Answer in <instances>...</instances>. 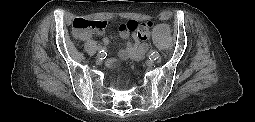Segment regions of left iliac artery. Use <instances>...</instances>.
<instances>
[{
	"mask_svg": "<svg viewBox=\"0 0 255 122\" xmlns=\"http://www.w3.org/2000/svg\"><path fill=\"white\" fill-rule=\"evenodd\" d=\"M150 56L153 60L159 59V53L157 51H153Z\"/></svg>",
	"mask_w": 255,
	"mask_h": 122,
	"instance_id": "44dca946",
	"label": "left iliac artery"
}]
</instances>
